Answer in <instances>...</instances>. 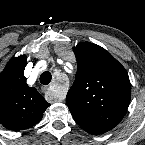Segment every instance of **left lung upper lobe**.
<instances>
[{"label":"left lung upper lobe","instance_id":"1","mask_svg":"<svg viewBox=\"0 0 145 145\" xmlns=\"http://www.w3.org/2000/svg\"><path fill=\"white\" fill-rule=\"evenodd\" d=\"M78 70L66 104L75 122L90 134H102L123 118L131 97L125 68L105 49L81 42L73 47Z\"/></svg>","mask_w":145,"mask_h":145}]
</instances>
